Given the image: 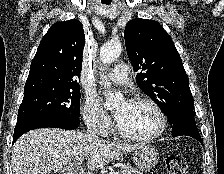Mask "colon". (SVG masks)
<instances>
[{
  "label": "colon",
  "instance_id": "obj_1",
  "mask_svg": "<svg viewBox=\"0 0 224 174\" xmlns=\"http://www.w3.org/2000/svg\"><path fill=\"white\" fill-rule=\"evenodd\" d=\"M166 167L169 174H185L187 165L181 157L170 155L166 158Z\"/></svg>",
  "mask_w": 224,
  "mask_h": 174
}]
</instances>
